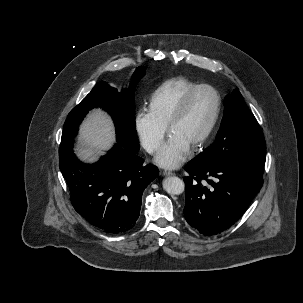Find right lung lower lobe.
<instances>
[{"label": "right lung lower lobe", "mask_w": 303, "mask_h": 303, "mask_svg": "<svg viewBox=\"0 0 303 303\" xmlns=\"http://www.w3.org/2000/svg\"><path fill=\"white\" fill-rule=\"evenodd\" d=\"M143 162L119 143L95 164L76 158L73 141L59 149V167L73 207L91 224L112 234L134 227L143 191L159 174L155 166Z\"/></svg>", "instance_id": "98d812e1"}]
</instances>
